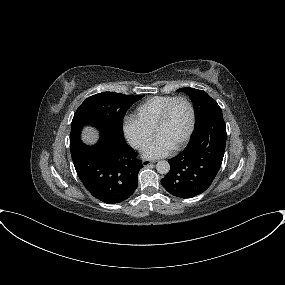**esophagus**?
<instances>
[{
  "label": "esophagus",
  "mask_w": 285,
  "mask_h": 285,
  "mask_svg": "<svg viewBox=\"0 0 285 285\" xmlns=\"http://www.w3.org/2000/svg\"><path fill=\"white\" fill-rule=\"evenodd\" d=\"M152 163H155V161L154 160H149V159H144L142 161V164H143L144 167H148Z\"/></svg>",
  "instance_id": "esophagus-1"
}]
</instances>
